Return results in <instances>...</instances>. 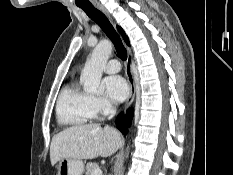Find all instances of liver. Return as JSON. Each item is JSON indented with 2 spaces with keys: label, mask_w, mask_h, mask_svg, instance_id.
Segmentation results:
<instances>
[{
  "label": "liver",
  "mask_w": 233,
  "mask_h": 175,
  "mask_svg": "<svg viewBox=\"0 0 233 175\" xmlns=\"http://www.w3.org/2000/svg\"><path fill=\"white\" fill-rule=\"evenodd\" d=\"M120 145V133L110 126L102 128L100 124L75 125L52 138L51 165L54 166L61 159L109 157Z\"/></svg>",
  "instance_id": "obj_1"
}]
</instances>
